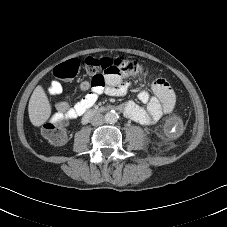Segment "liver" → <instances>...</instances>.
<instances>
[{
	"instance_id": "1",
	"label": "liver",
	"mask_w": 227,
	"mask_h": 227,
	"mask_svg": "<svg viewBox=\"0 0 227 227\" xmlns=\"http://www.w3.org/2000/svg\"><path fill=\"white\" fill-rule=\"evenodd\" d=\"M29 119L34 126H41L51 115V105L41 85H38L29 100Z\"/></svg>"
}]
</instances>
